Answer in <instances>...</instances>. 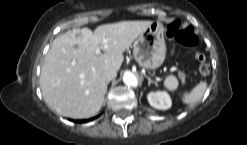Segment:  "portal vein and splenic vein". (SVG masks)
<instances>
[{"label":"portal vein and splenic vein","instance_id":"portal-vein-and-splenic-vein-1","mask_svg":"<svg viewBox=\"0 0 247 145\" xmlns=\"http://www.w3.org/2000/svg\"><path fill=\"white\" fill-rule=\"evenodd\" d=\"M106 42H107V40H104V43H106ZM100 50H101V49H99V48L96 50V54H97V55L100 54Z\"/></svg>","mask_w":247,"mask_h":145}]
</instances>
